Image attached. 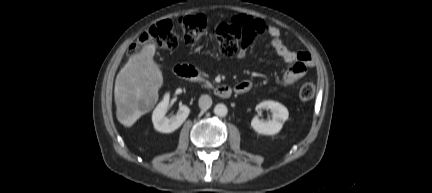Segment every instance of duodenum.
I'll use <instances>...</instances> for the list:
<instances>
[{"label":"duodenum","instance_id":"410a0bca","mask_svg":"<svg viewBox=\"0 0 432 193\" xmlns=\"http://www.w3.org/2000/svg\"><path fill=\"white\" fill-rule=\"evenodd\" d=\"M174 72L177 77L191 82H198L201 78L199 71L192 65H176ZM214 91L221 98H229L233 93V88L227 85H216Z\"/></svg>","mask_w":432,"mask_h":193}]
</instances>
